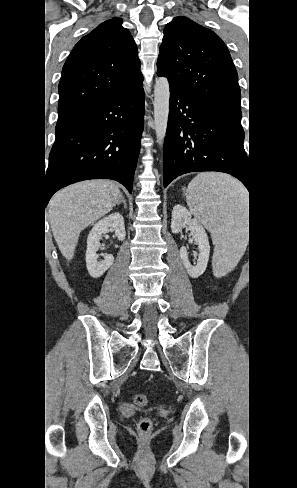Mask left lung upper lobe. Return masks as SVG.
I'll return each instance as SVG.
<instances>
[{
	"mask_svg": "<svg viewBox=\"0 0 297 488\" xmlns=\"http://www.w3.org/2000/svg\"><path fill=\"white\" fill-rule=\"evenodd\" d=\"M157 74L211 111L241 123L238 75L230 53L210 29L187 17H175L164 28Z\"/></svg>",
	"mask_w": 297,
	"mask_h": 488,
	"instance_id": "left-lung-upper-lobe-1",
	"label": "left lung upper lobe"
}]
</instances>
